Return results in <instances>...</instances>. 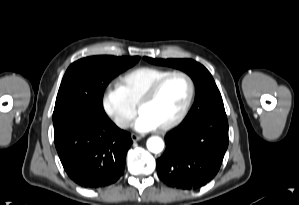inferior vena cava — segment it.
Segmentation results:
<instances>
[{
  "label": "inferior vena cava",
  "mask_w": 299,
  "mask_h": 205,
  "mask_svg": "<svg viewBox=\"0 0 299 205\" xmlns=\"http://www.w3.org/2000/svg\"><path fill=\"white\" fill-rule=\"evenodd\" d=\"M115 123L120 128H127L130 125V121L125 118H116Z\"/></svg>",
  "instance_id": "inferior-vena-cava-1"
}]
</instances>
